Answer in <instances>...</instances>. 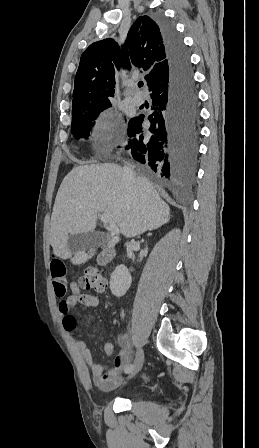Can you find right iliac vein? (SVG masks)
<instances>
[{
	"mask_svg": "<svg viewBox=\"0 0 259 448\" xmlns=\"http://www.w3.org/2000/svg\"><path fill=\"white\" fill-rule=\"evenodd\" d=\"M143 362H144V352L141 348L137 349L136 352V357H135V361H134V368L133 371L130 373V377L134 376L135 374H137L142 366H143Z\"/></svg>",
	"mask_w": 259,
	"mask_h": 448,
	"instance_id": "obj_1",
	"label": "right iliac vein"
}]
</instances>
